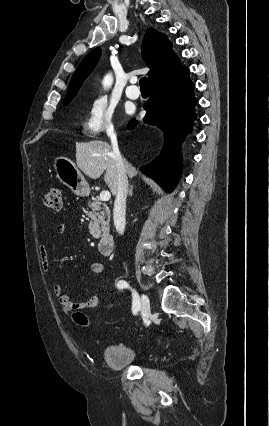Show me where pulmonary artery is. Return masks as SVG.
<instances>
[{
  "mask_svg": "<svg viewBox=\"0 0 269 426\" xmlns=\"http://www.w3.org/2000/svg\"><path fill=\"white\" fill-rule=\"evenodd\" d=\"M135 83H136V79L131 78L130 85L126 88L127 97L133 100L138 99L140 97V90L135 85Z\"/></svg>",
  "mask_w": 269,
  "mask_h": 426,
  "instance_id": "1",
  "label": "pulmonary artery"
}]
</instances>
